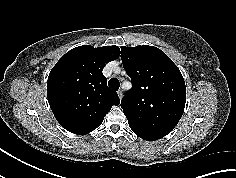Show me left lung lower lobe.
<instances>
[{
    "label": "left lung lower lobe",
    "instance_id": "1",
    "mask_svg": "<svg viewBox=\"0 0 236 178\" xmlns=\"http://www.w3.org/2000/svg\"><path fill=\"white\" fill-rule=\"evenodd\" d=\"M133 131L137 134V136H139L140 138H142L144 140H148V141L158 140L163 137V136L145 133V132H141V131H137V130H133Z\"/></svg>",
    "mask_w": 236,
    "mask_h": 178
}]
</instances>
